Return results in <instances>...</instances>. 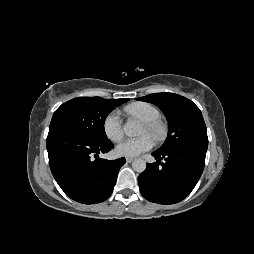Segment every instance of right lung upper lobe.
Here are the masks:
<instances>
[{"label":"right lung upper lobe","instance_id":"obj_1","mask_svg":"<svg viewBox=\"0 0 254 254\" xmlns=\"http://www.w3.org/2000/svg\"><path fill=\"white\" fill-rule=\"evenodd\" d=\"M125 99H127V98H124V99H111V101L115 104H123V103H125Z\"/></svg>","mask_w":254,"mask_h":254}]
</instances>
